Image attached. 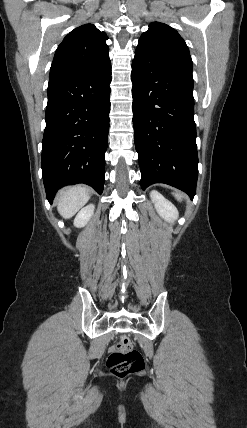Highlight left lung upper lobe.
<instances>
[{
	"label": "left lung upper lobe",
	"instance_id": "obj_1",
	"mask_svg": "<svg viewBox=\"0 0 247 428\" xmlns=\"http://www.w3.org/2000/svg\"><path fill=\"white\" fill-rule=\"evenodd\" d=\"M135 51L150 54L192 73V59L185 41L176 30L166 24L151 23L149 29L141 35Z\"/></svg>",
	"mask_w": 247,
	"mask_h": 428
}]
</instances>
